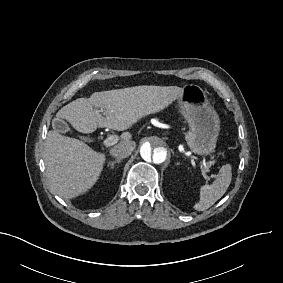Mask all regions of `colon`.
I'll return each mask as SVG.
<instances>
[{"label":"colon","mask_w":283,"mask_h":283,"mask_svg":"<svg viewBox=\"0 0 283 283\" xmlns=\"http://www.w3.org/2000/svg\"><path fill=\"white\" fill-rule=\"evenodd\" d=\"M220 110H221V111H223V108H222V107H220Z\"/></svg>","instance_id":"colon-1"}]
</instances>
